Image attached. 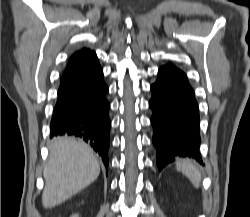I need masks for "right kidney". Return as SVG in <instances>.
Listing matches in <instances>:
<instances>
[{
  "label": "right kidney",
  "mask_w": 250,
  "mask_h": 217,
  "mask_svg": "<svg viewBox=\"0 0 250 217\" xmlns=\"http://www.w3.org/2000/svg\"><path fill=\"white\" fill-rule=\"evenodd\" d=\"M71 217H79L77 214L72 215Z\"/></svg>",
  "instance_id": "1"
}]
</instances>
